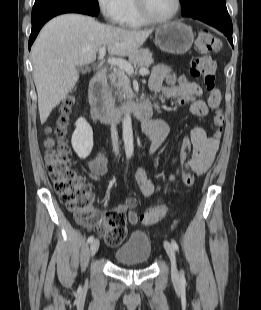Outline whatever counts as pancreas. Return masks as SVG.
Returning <instances> with one entry per match:
<instances>
[{"label":"pancreas","mask_w":261,"mask_h":310,"mask_svg":"<svg viewBox=\"0 0 261 310\" xmlns=\"http://www.w3.org/2000/svg\"><path fill=\"white\" fill-rule=\"evenodd\" d=\"M129 62L141 67H148L153 63L152 53L147 49H141L129 55ZM157 76L152 74L151 79H155ZM111 84L117 88V94L121 98L131 100L133 93L130 87V80L123 69H115L109 76Z\"/></svg>","instance_id":"obj_1"}]
</instances>
